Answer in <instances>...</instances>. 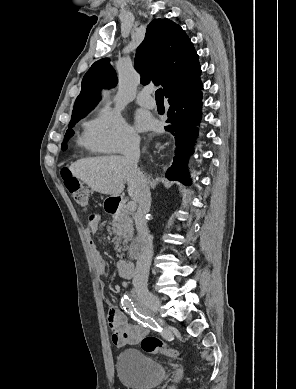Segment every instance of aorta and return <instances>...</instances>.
<instances>
[{
    "instance_id": "1",
    "label": "aorta",
    "mask_w": 296,
    "mask_h": 389,
    "mask_svg": "<svg viewBox=\"0 0 296 389\" xmlns=\"http://www.w3.org/2000/svg\"><path fill=\"white\" fill-rule=\"evenodd\" d=\"M142 248H143V242H142V240H141L140 238H136V239L132 242V244H131V246H130V254H131L132 256H136V255H138V253L142 250Z\"/></svg>"
}]
</instances>
